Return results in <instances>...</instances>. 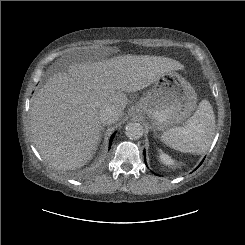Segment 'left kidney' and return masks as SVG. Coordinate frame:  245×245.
Returning a JSON list of instances; mask_svg holds the SVG:
<instances>
[{
	"instance_id": "5707ae66",
	"label": "left kidney",
	"mask_w": 245,
	"mask_h": 245,
	"mask_svg": "<svg viewBox=\"0 0 245 245\" xmlns=\"http://www.w3.org/2000/svg\"><path fill=\"white\" fill-rule=\"evenodd\" d=\"M160 160L166 165H173V160L166 154L162 153L159 156Z\"/></svg>"
}]
</instances>
